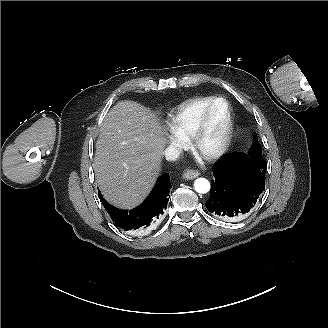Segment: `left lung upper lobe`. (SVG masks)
<instances>
[{"instance_id": "1", "label": "left lung upper lobe", "mask_w": 328, "mask_h": 328, "mask_svg": "<svg viewBox=\"0 0 328 328\" xmlns=\"http://www.w3.org/2000/svg\"><path fill=\"white\" fill-rule=\"evenodd\" d=\"M257 143H258V139H257V137L255 136V137H254V141H253V146L256 145ZM253 146H252V147H253Z\"/></svg>"}]
</instances>
